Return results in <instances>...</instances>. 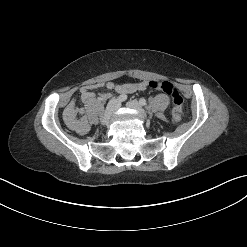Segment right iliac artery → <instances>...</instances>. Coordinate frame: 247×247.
Instances as JSON below:
<instances>
[{
  "label": "right iliac artery",
  "mask_w": 247,
  "mask_h": 247,
  "mask_svg": "<svg viewBox=\"0 0 247 247\" xmlns=\"http://www.w3.org/2000/svg\"><path fill=\"white\" fill-rule=\"evenodd\" d=\"M126 99H127V95H126V94H121V95L117 98V100L120 101V102H123V101H125Z\"/></svg>",
  "instance_id": "right-iliac-artery-1"
}]
</instances>
